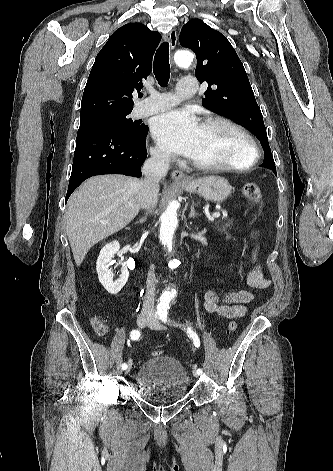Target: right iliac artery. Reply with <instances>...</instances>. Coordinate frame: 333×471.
Segmentation results:
<instances>
[{
	"mask_svg": "<svg viewBox=\"0 0 333 471\" xmlns=\"http://www.w3.org/2000/svg\"><path fill=\"white\" fill-rule=\"evenodd\" d=\"M156 316H157V314H156ZM130 337H131L132 340H138L139 337H140V331L137 330V329L132 330L131 333H130ZM126 368H127V364L123 363L122 364V369L125 370Z\"/></svg>",
	"mask_w": 333,
	"mask_h": 471,
	"instance_id": "obj_1",
	"label": "right iliac artery"
}]
</instances>
